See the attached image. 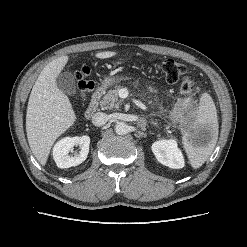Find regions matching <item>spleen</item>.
Masks as SVG:
<instances>
[{"mask_svg":"<svg viewBox=\"0 0 247 247\" xmlns=\"http://www.w3.org/2000/svg\"><path fill=\"white\" fill-rule=\"evenodd\" d=\"M194 131L205 128L211 132L208 141L202 145H196L190 139L191 134L183 135V145L190 164L193 168L201 167L213 152L218 139L217 110L212 97L208 93L202 94L197 114L193 124Z\"/></svg>","mask_w":247,"mask_h":247,"instance_id":"1","label":"spleen"}]
</instances>
